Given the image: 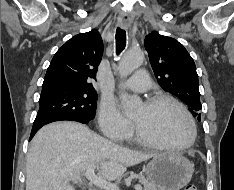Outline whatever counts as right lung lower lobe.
Masks as SVG:
<instances>
[{
	"label": "right lung lower lobe",
	"instance_id": "1",
	"mask_svg": "<svg viewBox=\"0 0 234 190\" xmlns=\"http://www.w3.org/2000/svg\"><path fill=\"white\" fill-rule=\"evenodd\" d=\"M62 120H70V121H77V122H80V123H83V124H87L89 122H85V121H81V120H78V119H74V118H58V119H55L51 122H54V121H62ZM49 122V123H51ZM48 124V123H47ZM43 125L41 126H38L36 128H32V131H31V135H30V139L31 140L33 138V136L35 135V133L42 127Z\"/></svg>",
	"mask_w": 234,
	"mask_h": 190
}]
</instances>
